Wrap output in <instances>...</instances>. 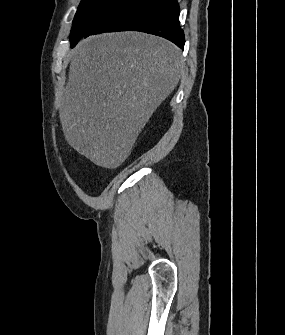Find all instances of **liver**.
Here are the masks:
<instances>
[{
    "label": "liver",
    "mask_w": 285,
    "mask_h": 335,
    "mask_svg": "<svg viewBox=\"0 0 285 335\" xmlns=\"http://www.w3.org/2000/svg\"><path fill=\"white\" fill-rule=\"evenodd\" d=\"M183 68L179 48L157 36L115 32L81 40L60 98L66 142L96 166L118 168Z\"/></svg>",
    "instance_id": "obj_1"
}]
</instances>
